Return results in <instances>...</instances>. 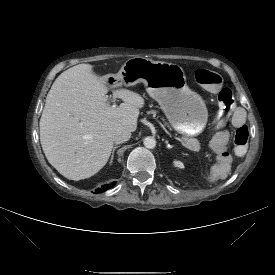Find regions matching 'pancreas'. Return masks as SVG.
<instances>
[{"mask_svg":"<svg viewBox=\"0 0 275 275\" xmlns=\"http://www.w3.org/2000/svg\"><path fill=\"white\" fill-rule=\"evenodd\" d=\"M157 112L154 110H151L148 112V114H153L155 115ZM182 143L187 147L192 150L196 149L199 146V142L196 139L193 138H182Z\"/></svg>","mask_w":275,"mask_h":275,"instance_id":"1","label":"pancreas"}]
</instances>
